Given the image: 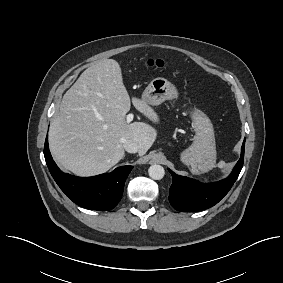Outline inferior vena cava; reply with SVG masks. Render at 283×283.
I'll return each mask as SVG.
<instances>
[{"label":"inferior vena cava","instance_id":"1","mask_svg":"<svg viewBox=\"0 0 283 283\" xmlns=\"http://www.w3.org/2000/svg\"><path fill=\"white\" fill-rule=\"evenodd\" d=\"M123 148L128 152V153H136L139 151V146L138 144L131 140V139H124L123 140Z\"/></svg>","mask_w":283,"mask_h":283}]
</instances>
